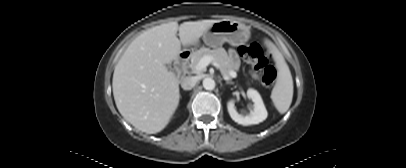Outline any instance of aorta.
Returning <instances> with one entry per match:
<instances>
[{"instance_id":"obj_1","label":"aorta","mask_w":406,"mask_h":168,"mask_svg":"<svg viewBox=\"0 0 406 168\" xmlns=\"http://www.w3.org/2000/svg\"><path fill=\"white\" fill-rule=\"evenodd\" d=\"M215 81L212 78H205L203 80V87L206 90H213L215 88Z\"/></svg>"}]
</instances>
